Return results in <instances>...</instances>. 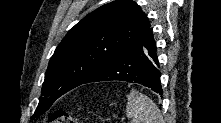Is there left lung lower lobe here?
<instances>
[{"instance_id": "0a47b994", "label": "left lung lower lobe", "mask_w": 221, "mask_h": 123, "mask_svg": "<svg viewBox=\"0 0 221 123\" xmlns=\"http://www.w3.org/2000/svg\"><path fill=\"white\" fill-rule=\"evenodd\" d=\"M158 67L156 43L152 31L148 29L136 43L102 66L83 84L121 80L142 84L162 95Z\"/></svg>"}]
</instances>
